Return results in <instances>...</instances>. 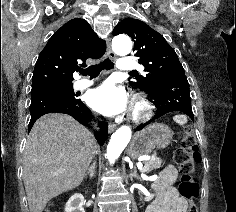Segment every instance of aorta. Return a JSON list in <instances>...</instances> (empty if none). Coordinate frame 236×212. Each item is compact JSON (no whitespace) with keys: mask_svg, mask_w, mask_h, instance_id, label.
<instances>
[{"mask_svg":"<svg viewBox=\"0 0 236 212\" xmlns=\"http://www.w3.org/2000/svg\"><path fill=\"white\" fill-rule=\"evenodd\" d=\"M113 50L119 55H127L132 49V42L126 35L116 36L112 41ZM132 131L129 126L118 128L111 136L107 146V158L114 163L131 139Z\"/></svg>","mask_w":236,"mask_h":212,"instance_id":"obj_1","label":"aorta"}]
</instances>
